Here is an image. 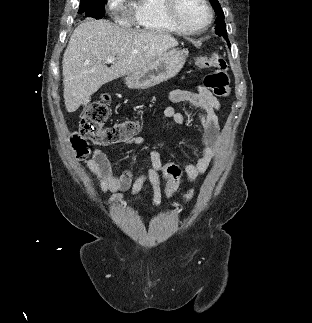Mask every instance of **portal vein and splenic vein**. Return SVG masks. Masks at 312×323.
<instances>
[{
    "mask_svg": "<svg viewBox=\"0 0 312 323\" xmlns=\"http://www.w3.org/2000/svg\"><path fill=\"white\" fill-rule=\"evenodd\" d=\"M106 62H108V64H115L116 62L115 56H110V58H107Z\"/></svg>",
    "mask_w": 312,
    "mask_h": 323,
    "instance_id": "1",
    "label": "portal vein and splenic vein"
}]
</instances>
